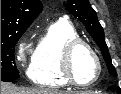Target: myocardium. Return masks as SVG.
Returning <instances> with one entry per match:
<instances>
[{
	"mask_svg": "<svg viewBox=\"0 0 121 94\" xmlns=\"http://www.w3.org/2000/svg\"><path fill=\"white\" fill-rule=\"evenodd\" d=\"M79 46H84L94 57L96 64H97V74L96 77L87 83L79 82L76 77L74 76V73L72 71V58L75 50ZM102 61L96 50L93 48L91 44H89L87 41L76 37L72 38L68 41H66L62 47L61 50V57H60V71L63 76V78L71 85L74 86H80V87H87L91 86L95 82L98 81V79L101 76L102 73Z\"/></svg>",
	"mask_w": 121,
	"mask_h": 94,
	"instance_id": "obj_1",
	"label": "myocardium"
}]
</instances>
